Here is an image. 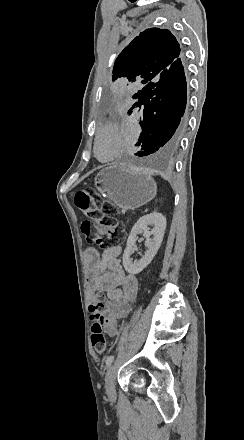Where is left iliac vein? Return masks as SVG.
Here are the masks:
<instances>
[{
    "instance_id": "1",
    "label": "left iliac vein",
    "mask_w": 244,
    "mask_h": 440,
    "mask_svg": "<svg viewBox=\"0 0 244 440\" xmlns=\"http://www.w3.org/2000/svg\"><path fill=\"white\" fill-rule=\"evenodd\" d=\"M116 373V366L115 364L111 365L109 369L107 370L106 376H105V389L107 397L112 400L116 396V390L114 385V376Z\"/></svg>"
}]
</instances>
